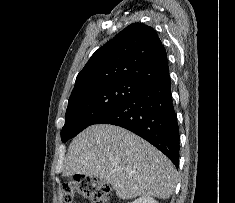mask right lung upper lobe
Here are the masks:
<instances>
[{
    "instance_id": "cb5924a9",
    "label": "right lung upper lobe",
    "mask_w": 235,
    "mask_h": 203,
    "mask_svg": "<svg viewBox=\"0 0 235 203\" xmlns=\"http://www.w3.org/2000/svg\"><path fill=\"white\" fill-rule=\"evenodd\" d=\"M168 72L167 54L157 33L147 25L132 23L91 56L72 92L114 80L145 85Z\"/></svg>"
}]
</instances>
